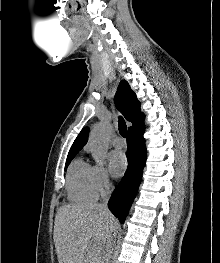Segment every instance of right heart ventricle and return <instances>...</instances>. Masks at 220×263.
Wrapping results in <instances>:
<instances>
[{
    "mask_svg": "<svg viewBox=\"0 0 220 263\" xmlns=\"http://www.w3.org/2000/svg\"><path fill=\"white\" fill-rule=\"evenodd\" d=\"M67 195L76 203L93 202L98 197L94 169L82 158L75 159L68 169Z\"/></svg>",
    "mask_w": 220,
    "mask_h": 263,
    "instance_id": "obj_1",
    "label": "right heart ventricle"
}]
</instances>
